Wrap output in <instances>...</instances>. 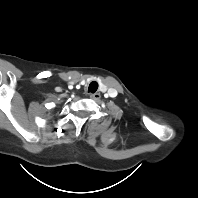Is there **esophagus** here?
I'll return each mask as SVG.
<instances>
[{"mask_svg":"<svg viewBox=\"0 0 198 198\" xmlns=\"http://www.w3.org/2000/svg\"><path fill=\"white\" fill-rule=\"evenodd\" d=\"M101 95L100 93H92L90 94V98H92L93 100L98 101L100 99Z\"/></svg>","mask_w":198,"mask_h":198,"instance_id":"obj_1","label":"esophagus"}]
</instances>
